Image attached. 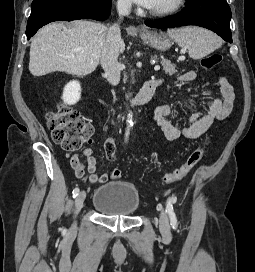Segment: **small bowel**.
<instances>
[{
    "label": "small bowel",
    "mask_w": 255,
    "mask_h": 272,
    "mask_svg": "<svg viewBox=\"0 0 255 272\" xmlns=\"http://www.w3.org/2000/svg\"><path fill=\"white\" fill-rule=\"evenodd\" d=\"M197 79V73L189 70L177 76V80L189 83ZM160 81V79H158ZM219 96L209 97L202 108L190 113L188 122L185 125H175L174 110L170 105H159L155 108L153 119L161 129L167 141H175L181 137L197 139L201 137L212 125L214 120H224L231 113L235 103V92L230 82L223 76L218 78ZM104 150L108 160L115 159L116 138L109 137L104 142ZM85 159V161L82 159ZM82 156L73 154L70 157L71 166L77 178L85 180V173H90L89 182L92 184L105 183L110 176L107 173L97 174V160L93 150L86 147Z\"/></svg>",
    "instance_id": "c3829d8e"
}]
</instances>
